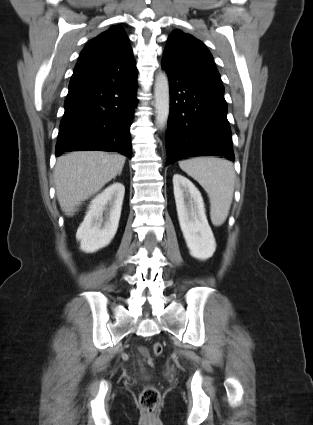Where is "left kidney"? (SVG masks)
I'll list each match as a JSON object with an SVG mask.
<instances>
[{
  "label": "left kidney",
  "instance_id": "5707ae66",
  "mask_svg": "<svg viewBox=\"0 0 313 425\" xmlns=\"http://www.w3.org/2000/svg\"><path fill=\"white\" fill-rule=\"evenodd\" d=\"M173 187L179 224L190 254L199 260H207L214 254L216 242L206 218L201 193L180 174H174Z\"/></svg>",
  "mask_w": 313,
  "mask_h": 425
}]
</instances>
